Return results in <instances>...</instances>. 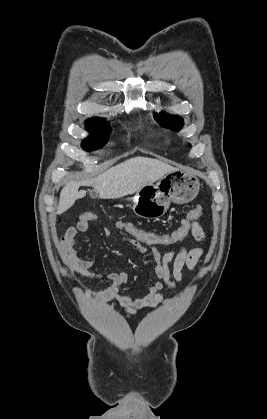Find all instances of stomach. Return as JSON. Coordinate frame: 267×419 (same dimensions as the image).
Returning a JSON list of instances; mask_svg holds the SVG:
<instances>
[{
  "instance_id": "1",
  "label": "stomach",
  "mask_w": 267,
  "mask_h": 419,
  "mask_svg": "<svg viewBox=\"0 0 267 419\" xmlns=\"http://www.w3.org/2000/svg\"><path fill=\"white\" fill-rule=\"evenodd\" d=\"M200 182L187 170L175 169L162 176L156 184H147L127 198L132 201L134 213L142 218L156 219L163 216L171 202L185 204L198 194Z\"/></svg>"
}]
</instances>
